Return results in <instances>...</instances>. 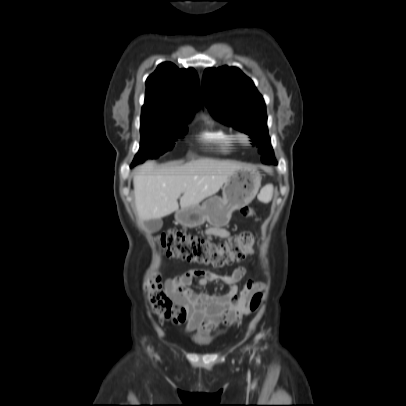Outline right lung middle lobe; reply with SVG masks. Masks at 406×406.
Returning <instances> with one entry per match:
<instances>
[{"label":"right lung middle lobe","instance_id":"1","mask_svg":"<svg viewBox=\"0 0 406 406\" xmlns=\"http://www.w3.org/2000/svg\"><path fill=\"white\" fill-rule=\"evenodd\" d=\"M189 121L143 120L141 119V142L139 152L132 165L154 159L174 147L176 139L187 131Z\"/></svg>","mask_w":406,"mask_h":406}]
</instances>
